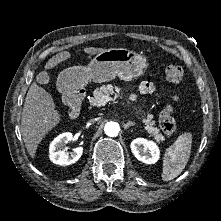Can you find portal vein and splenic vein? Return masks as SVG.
<instances>
[{"mask_svg":"<svg viewBox=\"0 0 221 221\" xmlns=\"http://www.w3.org/2000/svg\"><path fill=\"white\" fill-rule=\"evenodd\" d=\"M112 100L113 99L109 95H104L99 99L98 105L104 106L107 102L112 101Z\"/></svg>","mask_w":221,"mask_h":221,"instance_id":"18ae733b","label":"portal vein and splenic vein"}]
</instances>
